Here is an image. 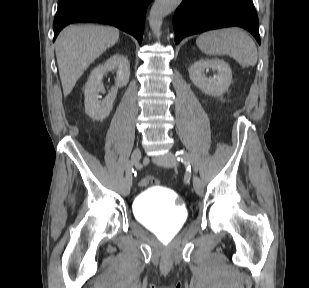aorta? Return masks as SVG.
<instances>
[{
	"label": "aorta",
	"instance_id": "aorta-1",
	"mask_svg": "<svg viewBox=\"0 0 309 288\" xmlns=\"http://www.w3.org/2000/svg\"><path fill=\"white\" fill-rule=\"evenodd\" d=\"M182 2V0H155L149 15L151 29L158 33L164 17L172 13Z\"/></svg>",
	"mask_w": 309,
	"mask_h": 288
}]
</instances>
